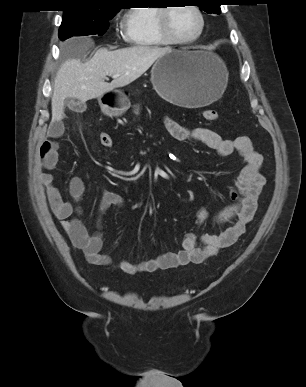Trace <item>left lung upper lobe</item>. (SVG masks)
<instances>
[{"label":"left lung upper lobe","instance_id":"5c2ea615","mask_svg":"<svg viewBox=\"0 0 306 387\" xmlns=\"http://www.w3.org/2000/svg\"><path fill=\"white\" fill-rule=\"evenodd\" d=\"M222 0H196L201 10L209 14H219L221 12L220 3Z\"/></svg>","mask_w":306,"mask_h":387}]
</instances>
